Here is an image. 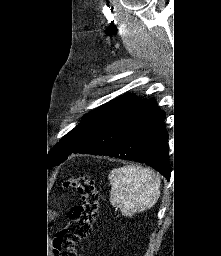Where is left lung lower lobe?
Instances as JSON below:
<instances>
[{
	"instance_id": "left-lung-lower-lobe-1",
	"label": "left lung lower lobe",
	"mask_w": 221,
	"mask_h": 256,
	"mask_svg": "<svg viewBox=\"0 0 221 256\" xmlns=\"http://www.w3.org/2000/svg\"><path fill=\"white\" fill-rule=\"evenodd\" d=\"M163 118L164 112L157 108L155 100H145L127 114L107 122L73 153L106 155L145 163L169 180L168 134Z\"/></svg>"
}]
</instances>
